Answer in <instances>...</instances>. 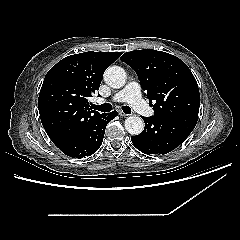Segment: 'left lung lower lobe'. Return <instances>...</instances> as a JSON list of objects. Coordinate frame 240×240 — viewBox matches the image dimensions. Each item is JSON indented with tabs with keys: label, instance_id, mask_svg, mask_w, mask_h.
I'll list each match as a JSON object with an SVG mask.
<instances>
[{
	"label": "left lung lower lobe",
	"instance_id": "1",
	"mask_svg": "<svg viewBox=\"0 0 240 240\" xmlns=\"http://www.w3.org/2000/svg\"><path fill=\"white\" fill-rule=\"evenodd\" d=\"M145 128L132 136L133 145L145 154H166L178 147L192 132L198 118L181 116L172 118L142 117Z\"/></svg>",
	"mask_w": 240,
	"mask_h": 240
}]
</instances>
